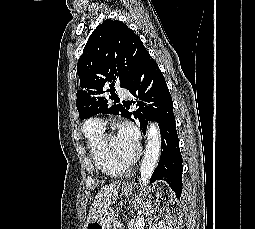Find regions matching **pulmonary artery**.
I'll list each match as a JSON object with an SVG mask.
<instances>
[{"label": "pulmonary artery", "mask_w": 255, "mask_h": 229, "mask_svg": "<svg viewBox=\"0 0 255 229\" xmlns=\"http://www.w3.org/2000/svg\"><path fill=\"white\" fill-rule=\"evenodd\" d=\"M117 92L124 98H127L129 95L128 91L124 88H117ZM88 121H89L90 127L104 128V122L98 118H92V119H89Z\"/></svg>", "instance_id": "pulmonary-artery-1"}]
</instances>
